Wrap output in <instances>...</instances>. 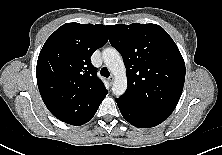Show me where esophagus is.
<instances>
[{
	"label": "esophagus",
	"instance_id": "obj_1",
	"mask_svg": "<svg viewBox=\"0 0 222 155\" xmlns=\"http://www.w3.org/2000/svg\"><path fill=\"white\" fill-rule=\"evenodd\" d=\"M113 80H114V76H113V75H111V76L108 78V81H109L110 83H112V82H113Z\"/></svg>",
	"mask_w": 222,
	"mask_h": 155
}]
</instances>
